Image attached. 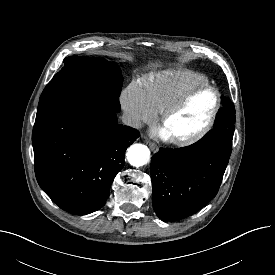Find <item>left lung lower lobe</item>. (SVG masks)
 <instances>
[{
	"mask_svg": "<svg viewBox=\"0 0 275 275\" xmlns=\"http://www.w3.org/2000/svg\"><path fill=\"white\" fill-rule=\"evenodd\" d=\"M225 115L226 109H220L216 121ZM233 134L228 128H213L190 146L160 148L152 157V202L160 219L181 220L216 196L230 158Z\"/></svg>",
	"mask_w": 275,
	"mask_h": 275,
	"instance_id": "left-lung-lower-lobe-1",
	"label": "left lung lower lobe"
}]
</instances>
